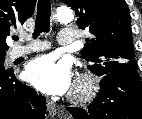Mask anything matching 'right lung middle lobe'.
<instances>
[{"mask_svg": "<svg viewBox=\"0 0 142 119\" xmlns=\"http://www.w3.org/2000/svg\"><path fill=\"white\" fill-rule=\"evenodd\" d=\"M6 53H0V72L5 71L3 66Z\"/></svg>", "mask_w": 142, "mask_h": 119, "instance_id": "1", "label": "right lung middle lobe"}]
</instances>
